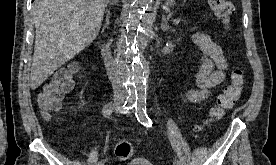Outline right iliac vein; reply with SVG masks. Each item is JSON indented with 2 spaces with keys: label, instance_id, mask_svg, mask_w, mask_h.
I'll list each match as a JSON object with an SVG mask.
<instances>
[{
  "label": "right iliac vein",
  "instance_id": "63e3f726",
  "mask_svg": "<svg viewBox=\"0 0 276 165\" xmlns=\"http://www.w3.org/2000/svg\"><path fill=\"white\" fill-rule=\"evenodd\" d=\"M114 105L116 106V108H118V107H119V104H118V103H115Z\"/></svg>",
  "mask_w": 276,
  "mask_h": 165
}]
</instances>
